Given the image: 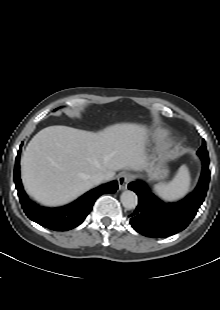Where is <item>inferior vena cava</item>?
Returning <instances> with one entry per match:
<instances>
[{
	"mask_svg": "<svg viewBox=\"0 0 220 310\" xmlns=\"http://www.w3.org/2000/svg\"><path fill=\"white\" fill-rule=\"evenodd\" d=\"M91 181L93 184L97 185L100 184L101 182H103L104 180H107V176L103 173H96L94 175L91 176Z\"/></svg>",
	"mask_w": 220,
	"mask_h": 310,
	"instance_id": "inferior-vena-cava-1",
	"label": "inferior vena cava"
}]
</instances>
